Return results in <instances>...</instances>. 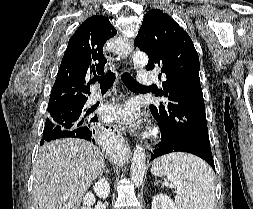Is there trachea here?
<instances>
[{
    "instance_id": "3493384b",
    "label": "trachea",
    "mask_w": 253,
    "mask_h": 209,
    "mask_svg": "<svg viewBox=\"0 0 253 209\" xmlns=\"http://www.w3.org/2000/svg\"><path fill=\"white\" fill-rule=\"evenodd\" d=\"M116 75L114 72L109 71L106 75L96 77L93 82L100 83L101 90H108L112 87ZM122 80L127 88L129 89H142L146 88L145 86L140 85L129 73L125 72L122 74Z\"/></svg>"
}]
</instances>
